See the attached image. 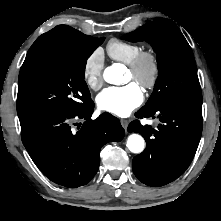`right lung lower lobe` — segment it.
<instances>
[{"label":"right lung lower lobe","instance_id":"98d812e1","mask_svg":"<svg viewBox=\"0 0 221 221\" xmlns=\"http://www.w3.org/2000/svg\"><path fill=\"white\" fill-rule=\"evenodd\" d=\"M93 111L91 100L76 112L40 115L20 122L26 150L51 181L69 188L87 184L98 171L101 148L123 139L125 131L118 118L105 112L92 120ZM80 119L83 124L73 123Z\"/></svg>","mask_w":221,"mask_h":221}]
</instances>
